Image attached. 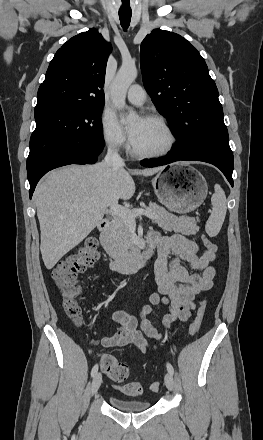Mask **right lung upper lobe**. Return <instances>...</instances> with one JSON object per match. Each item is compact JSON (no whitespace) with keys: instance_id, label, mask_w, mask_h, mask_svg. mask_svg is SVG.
Wrapping results in <instances>:
<instances>
[{"instance_id":"obj_1","label":"right lung upper lobe","mask_w":263,"mask_h":440,"mask_svg":"<svg viewBox=\"0 0 263 440\" xmlns=\"http://www.w3.org/2000/svg\"><path fill=\"white\" fill-rule=\"evenodd\" d=\"M111 46L96 29L69 39L51 60L35 109L103 106L106 63Z\"/></svg>"}]
</instances>
